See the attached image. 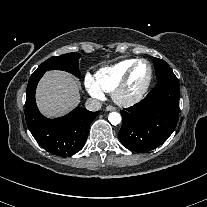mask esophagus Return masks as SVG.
Wrapping results in <instances>:
<instances>
[{"instance_id": "esophagus-1", "label": "esophagus", "mask_w": 207, "mask_h": 207, "mask_svg": "<svg viewBox=\"0 0 207 207\" xmlns=\"http://www.w3.org/2000/svg\"><path fill=\"white\" fill-rule=\"evenodd\" d=\"M115 108L113 106H107L106 111H114Z\"/></svg>"}]
</instances>
